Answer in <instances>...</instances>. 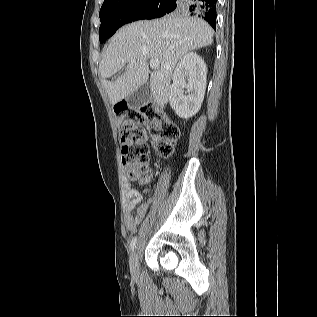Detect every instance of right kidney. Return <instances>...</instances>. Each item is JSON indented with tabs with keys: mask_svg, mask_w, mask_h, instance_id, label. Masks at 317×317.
Wrapping results in <instances>:
<instances>
[{
	"mask_svg": "<svg viewBox=\"0 0 317 317\" xmlns=\"http://www.w3.org/2000/svg\"><path fill=\"white\" fill-rule=\"evenodd\" d=\"M207 68L197 53L185 54L173 73L169 88V102L181 118L195 115L201 108L206 90Z\"/></svg>",
	"mask_w": 317,
	"mask_h": 317,
	"instance_id": "1",
	"label": "right kidney"
}]
</instances>
